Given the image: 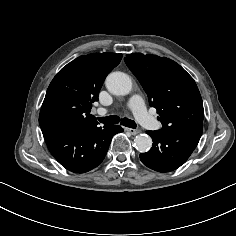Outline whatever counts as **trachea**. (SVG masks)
Masks as SVG:
<instances>
[{"instance_id":"3493384b","label":"trachea","mask_w":236,"mask_h":236,"mask_svg":"<svg viewBox=\"0 0 236 236\" xmlns=\"http://www.w3.org/2000/svg\"><path fill=\"white\" fill-rule=\"evenodd\" d=\"M99 122L103 124H117L121 122L123 126L129 127V128H136V123L133 120H130L128 118H122L120 119L118 116H106V117H98L97 118Z\"/></svg>"}]
</instances>
